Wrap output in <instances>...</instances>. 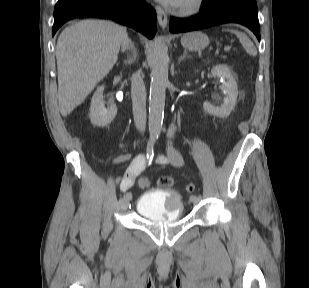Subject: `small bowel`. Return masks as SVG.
<instances>
[{
    "instance_id": "small-bowel-1",
    "label": "small bowel",
    "mask_w": 309,
    "mask_h": 288,
    "mask_svg": "<svg viewBox=\"0 0 309 288\" xmlns=\"http://www.w3.org/2000/svg\"><path fill=\"white\" fill-rule=\"evenodd\" d=\"M175 134V125L171 124L167 133L168 145L165 154L155 156V161L162 165H170L173 167H181L183 165L182 156L172 146V138ZM128 159V155H120L117 157L116 162L121 163ZM147 159L144 155L135 157L128 169L126 170L123 178L120 181V188L122 190H129L133 187L136 177L145 168Z\"/></svg>"
}]
</instances>
